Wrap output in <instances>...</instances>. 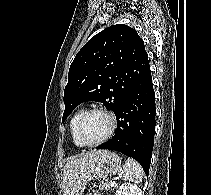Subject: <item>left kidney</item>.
Segmentation results:
<instances>
[{
    "label": "left kidney",
    "mask_w": 211,
    "mask_h": 195,
    "mask_svg": "<svg viewBox=\"0 0 211 195\" xmlns=\"http://www.w3.org/2000/svg\"><path fill=\"white\" fill-rule=\"evenodd\" d=\"M114 195H142L141 189L135 184L123 183Z\"/></svg>",
    "instance_id": "5707ae66"
}]
</instances>
